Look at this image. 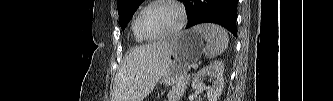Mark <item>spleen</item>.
<instances>
[{
  "label": "spleen",
  "mask_w": 333,
  "mask_h": 101,
  "mask_svg": "<svg viewBox=\"0 0 333 101\" xmlns=\"http://www.w3.org/2000/svg\"><path fill=\"white\" fill-rule=\"evenodd\" d=\"M194 31L200 33L207 42L204 49L205 57L212 59L223 53L228 47V34L222 27L206 23L193 27Z\"/></svg>",
  "instance_id": "obj_1"
}]
</instances>
